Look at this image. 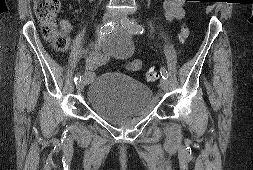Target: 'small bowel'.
Instances as JSON below:
<instances>
[{
    "mask_svg": "<svg viewBox=\"0 0 253 170\" xmlns=\"http://www.w3.org/2000/svg\"><path fill=\"white\" fill-rule=\"evenodd\" d=\"M186 0H165L163 4L164 15L168 21L181 20L185 15L183 5ZM72 8V6H70ZM63 30L71 32L72 25L70 22L63 20L61 22ZM110 51L93 52L85 62L86 72L88 75V81L94 76V71L111 57ZM126 67L130 71H139L141 68V62L138 59H133L127 62Z\"/></svg>",
    "mask_w": 253,
    "mask_h": 170,
    "instance_id": "obj_1",
    "label": "small bowel"
}]
</instances>
